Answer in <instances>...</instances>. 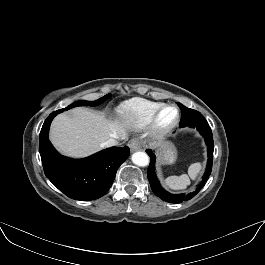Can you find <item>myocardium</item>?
I'll return each mask as SVG.
<instances>
[{"label": "myocardium", "mask_w": 265, "mask_h": 265, "mask_svg": "<svg viewBox=\"0 0 265 265\" xmlns=\"http://www.w3.org/2000/svg\"><path fill=\"white\" fill-rule=\"evenodd\" d=\"M167 108H174L176 111V115L171 122H169L167 124H162L161 123V116H162V113ZM179 119H180V111L176 105H174V104H163L156 111V113L154 114V116L152 117V119L150 120V122L148 124L149 134L152 137H160V136L165 135L168 132H170L178 124Z\"/></svg>", "instance_id": "f54148a6"}]
</instances>
